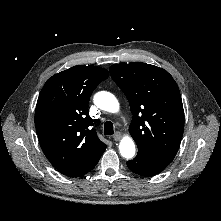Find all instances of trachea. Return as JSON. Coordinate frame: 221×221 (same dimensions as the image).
<instances>
[{
	"mask_svg": "<svg viewBox=\"0 0 221 221\" xmlns=\"http://www.w3.org/2000/svg\"><path fill=\"white\" fill-rule=\"evenodd\" d=\"M114 133L113 124L110 121L105 122L104 124V134L112 135Z\"/></svg>",
	"mask_w": 221,
	"mask_h": 221,
	"instance_id": "3493384b",
	"label": "trachea"
}]
</instances>
